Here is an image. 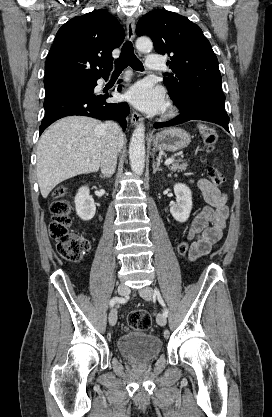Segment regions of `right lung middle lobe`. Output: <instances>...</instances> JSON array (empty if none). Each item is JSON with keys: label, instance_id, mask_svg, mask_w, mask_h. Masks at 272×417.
Wrapping results in <instances>:
<instances>
[{"label": "right lung middle lobe", "instance_id": "1", "mask_svg": "<svg viewBox=\"0 0 272 417\" xmlns=\"http://www.w3.org/2000/svg\"><path fill=\"white\" fill-rule=\"evenodd\" d=\"M82 87H83V84H72V85H63V86L56 87V88L45 89V100L50 98L51 96H53L54 94L58 92L69 90V89H74V88H82Z\"/></svg>", "mask_w": 272, "mask_h": 417}]
</instances>
